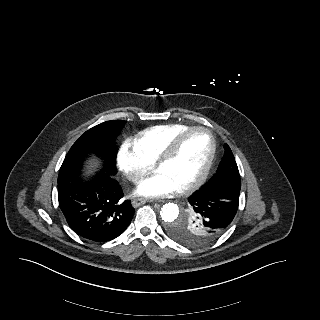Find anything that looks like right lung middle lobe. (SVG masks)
Instances as JSON below:
<instances>
[{
  "mask_svg": "<svg viewBox=\"0 0 320 320\" xmlns=\"http://www.w3.org/2000/svg\"><path fill=\"white\" fill-rule=\"evenodd\" d=\"M123 126V120L106 121L82 134L73 144L61 165L58 184L77 177L84 159L90 153L103 158L104 172L115 174L117 150L114 138Z\"/></svg>",
  "mask_w": 320,
  "mask_h": 320,
  "instance_id": "right-lung-middle-lobe-1",
  "label": "right lung middle lobe"
}]
</instances>
